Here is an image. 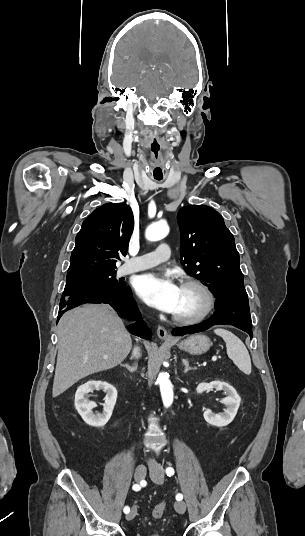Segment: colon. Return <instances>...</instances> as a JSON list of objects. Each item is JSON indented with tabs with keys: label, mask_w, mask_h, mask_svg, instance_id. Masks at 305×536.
<instances>
[{
	"label": "colon",
	"mask_w": 305,
	"mask_h": 536,
	"mask_svg": "<svg viewBox=\"0 0 305 536\" xmlns=\"http://www.w3.org/2000/svg\"><path fill=\"white\" fill-rule=\"evenodd\" d=\"M165 511L166 505L164 503H158L152 508L151 515L153 518H160L164 515Z\"/></svg>",
	"instance_id": "1"
}]
</instances>
